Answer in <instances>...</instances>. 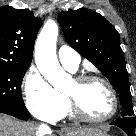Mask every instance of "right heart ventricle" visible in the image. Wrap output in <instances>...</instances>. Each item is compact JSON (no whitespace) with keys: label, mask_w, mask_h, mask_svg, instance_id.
Returning a JSON list of instances; mask_svg holds the SVG:
<instances>
[{"label":"right heart ventricle","mask_w":136,"mask_h":136,"mask_svg":"<svg viewBox=\"0 0 136 136\" xmlns=\"http://www.w3.org/2000/svg\"><path fill=\"white\" fill-rule=\"evenodd\" d=\"M62 97H63V99H64V107H63V110H62L60 116H59L57 119H60V118H62V117H64V116H67V115H69V113H70L67 100H66V98H65L64 96H62Z\"/></svg>","instance_id":"1"}]
</instances>
